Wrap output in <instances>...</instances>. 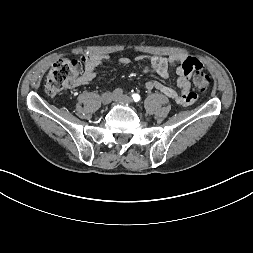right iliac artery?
I'll return each instance as SVG.
<instances>
[{
    "mask_svg": "<svg viewBox=\"0 0 253 253\" xmlns=\"http://www.w3.org/2000/svg\"><path fill=\"white\" fill-rule=\"evenodd\" d=\"M122 93H123V90L121 88H116L115 90H113L114 96L122 95Z\"/></svg>",
    "mask_w": 253,
    "mask_h": 253,
    "instance_id": "right-iliac-artery-1",
    "label": "right iliac artery"
}]
</instances>
